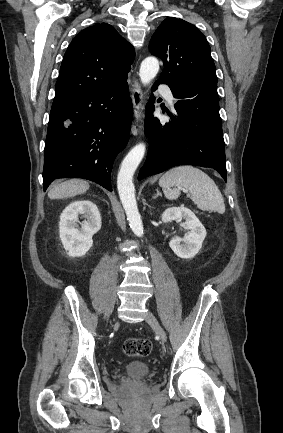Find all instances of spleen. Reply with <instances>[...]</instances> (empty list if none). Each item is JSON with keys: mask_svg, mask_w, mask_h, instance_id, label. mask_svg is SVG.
Instances as JSON below:
<instances>
[{"mask_svg": "<svg viewBox=\"0 0 283 433\" xmlns=\"http://www.w3.org/2000/svg\"><path fill=\"white\" fill-rule=\"evenodd\" d=\"M159 184L169 200H175L181 194L179 188L170 186H184L189 190L187 196H190L201 210H217L220 214L225 212L224 198L218 186L200 168H194L190 164L175 166L161 176Z\"/></svg>", "mask_w": 283, "mask_h": 433, "instance_id": "spleen-1", "label": "spleen"}]
</instances>
